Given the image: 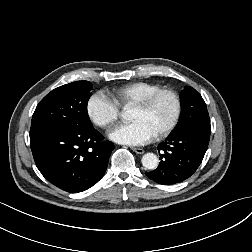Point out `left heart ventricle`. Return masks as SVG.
I'll list each match as a JSON object with an SVG mask.
<instances>
[{"instance_id":"obj_1","label":"left heart ventricle","mask_w":252,"mask_h":252,"mask_svg":"<svg viewBox=\"0 0 252 252\" xmlns=\"http://www.w3.org/2000/svg\"><path fill=\"white\" fill-rule=\"evenodd\" d=\"M174 110L175 102L173 97L169 94H163L159 96L147 110L133 108L131 119L133 121H144L155 133H157L169 124L173 117Z\"/></svg>"}]
</instances>
